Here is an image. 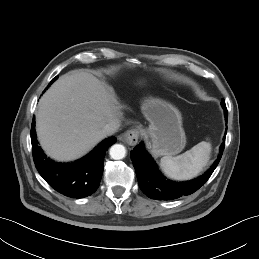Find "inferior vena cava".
Returning a JSON list of instances; mask_svg holds the SVG:
<instances>
[{
  "label": "inferior vena cava",
  "mask_w": 259,
  "mask_h": 259,
  "mask_svg": "<svg viewBox=\"0 0 259 259\" xmlns=\"http://www.w3.org/2000/svg\"><path fill=\"white\" fill-rule=\"evenodd\" d=\"M119 126L120 124L118 122L112 121L104 126L103 132L107 135H111L118 130Z\"/></svg>",
  "instance_id": "602c4592"
}]
</instances>
